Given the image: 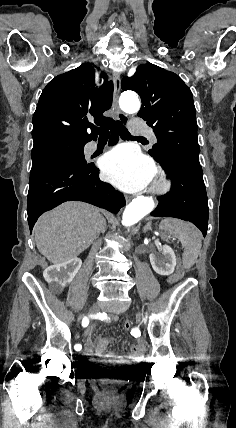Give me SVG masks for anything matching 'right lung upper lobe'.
I'll use <instances>...</instances> for the list:
<instances>
[{
  "label": "right lung upper lobe",
  "mask_w": 236,
  "mask_h": 428,
  "mask_svg": "<svg viewBox=\"0 0 236 428\" xmlns=\"http://www.w3.org/2000/svg\"><path fill=\"white\" fill-rule=\"evenodd\" d=\"M94 73V66L84 63L48 83L33 115L34 145L61 139H96L94 133H87V128L91 125L88 121L90 116L94 117L97 125H114L111 118L102 115L111 107L113 83L106 80L97 89ZM101 76L107 79L104 72Z\"/></svg>",
  "instance_id": "cb5924a9"
}]
</instances>
